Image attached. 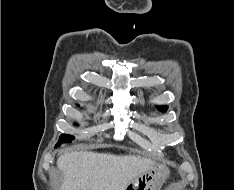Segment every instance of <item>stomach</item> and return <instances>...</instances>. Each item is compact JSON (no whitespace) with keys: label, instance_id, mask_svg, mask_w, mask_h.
Listing matches in <instances>:
<instances>
[{"label":"stomach","instance_id":"obj_1","mask_svg":"<svg viewBox=\"0 0 234 190\" xmlns=\"http://www.w3.org/2000/svg\"><path fill=\"white\" fill-rule=\"evenodd\" d=\"M168 177L169 169L165 164H153L145 173L133 179L125 190H159Z\"/></svg>","mask_w":234,"mask_h":190}]
</instances>
